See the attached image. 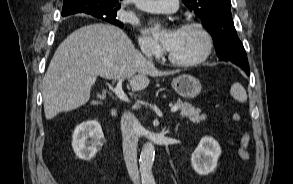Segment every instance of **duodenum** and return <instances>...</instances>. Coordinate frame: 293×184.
<instances>
[{"instance_id": "obj_1", "label": "duodenum", "mask_w": 293, "mask_h": 184, "mask_svg": "<svg viewBox=\"0 0 293 184\" xmlns=\"http://www.w3.org/2000/svg\"><path fill=\"white\" fill-rule=\"evenodd\" d=\"M110 115L113 117L116 115V109L112 108L111 109V112H110Z\"/></svg>"}]
</instances>
